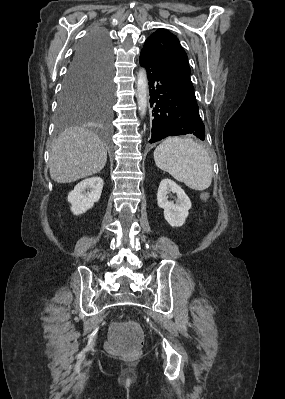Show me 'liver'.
<instances>
[{
	"label": "liver",
	"instance_id": "1",
	"mask_svg": "<svg viewBox=\"0 0 285 399\" xmlns=\"http://www.w3.org/2000/svg\"><path fill=\"white\" fill-rule=\"evenodd\" d=\"M107 162L105 144L94 132L73 127L63 131L50 150L49 171L57 183H70L100 172Z\"/></svg>",
	"mask_w": 285,
	"mask_h": 399
}]
</instances>
